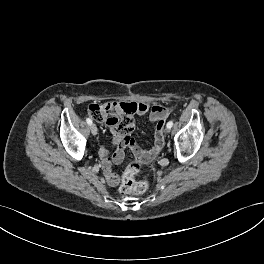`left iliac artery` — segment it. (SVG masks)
I'll return each instance as SVG.
<instances>
[{"mask_svg":"<svg viewBox=\"0 0 264 264\" xmlns=\"http://www.w3.org/2000/svg\"><path fill=\"white\" fill-rule=\"evenodd\" d=\"M166 126L167 128H171L173 126V121L172 120L169 121Z\"/></svg>","mask_w":264,"mask_h":264,"instance_id":"left-iliac-artery-1","label":"left iliac artery"}]
</instances>
